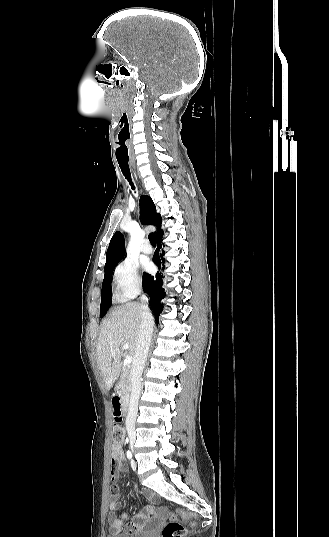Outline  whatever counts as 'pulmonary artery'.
<instances>
[{
    "mask_svg": "<svg viewBox=\"0 0 329 537\" xmlns=\"http://www.w3.org/2000/svg\"><path fill=\"white\" fill-rule=\"evenodd\" d=\"M141 251L145 254H149L152 252V247L148 244V242H144L141 246Z\"/></svg>",
    "mask_w": 329,
    "mask_h": 537,
    "instance_id": "1",
    "label": "pulmonary artery"
}]
</instances>
